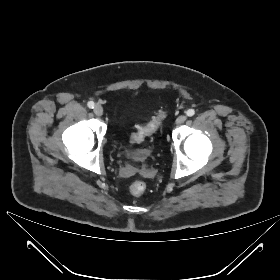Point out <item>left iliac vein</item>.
I'll use <instances>...</instances> for the list:
<instances>
[{
	"label": "left iliac vein",
	"mask_w": 280,
	"mask_h": 280,
	"mask_svg": "<svg viewBox=\"0 0 280 280\" xmlns=\"http://www.w3.org/2000/svg\"><path fill=\"white\" fill-rule=\"evenodd\" d=\"M187 119L186 115H180L177 119H176V124L180 125L182 123H184Z\"/></svg>",
	"instance_id": "1"
}]
</instances>
